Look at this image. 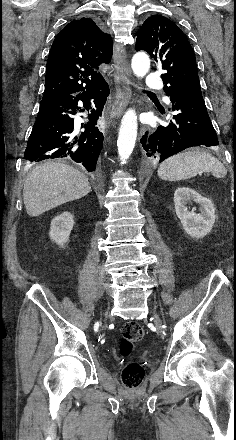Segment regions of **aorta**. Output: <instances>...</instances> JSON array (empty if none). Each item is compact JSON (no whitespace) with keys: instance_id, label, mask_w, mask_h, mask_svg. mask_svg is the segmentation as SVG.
Returning a JSON list of instances; mask_svg holds the SVG:
<instances>
[{"instance_id":"aorta-1","label":"aorta","mask_w":236,"mask_h":440,"mask_svg":"<svg viewBox=\"0 0 236 440\" xmlns=\"http://www.w3.org/2000/svg\"><path fill=\"white\" fill-rule=\"evenodd\" d=\"M131 67L138 78H143L150 69V59L144 52H137L132 57ZM137 115L135 110L129 109L122 118L117 141V148L122 164L133 152L137 138Z\"/></svg>"}]
</instances>
